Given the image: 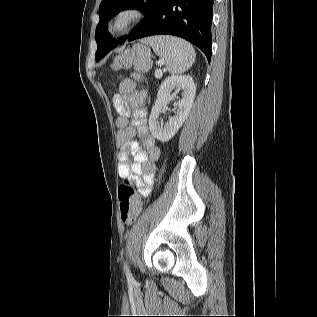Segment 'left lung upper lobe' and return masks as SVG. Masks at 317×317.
I'll use <instances>...</instances> for the list:
<instances>
[{
	"label": "left lung upper lobe",
	"mask_w": 317,
	"mask_h": 317,
	"mask_svg": "<svg viewBox=\"0 0 317 317\" xmlns=\"http://www.w3.org/2000/svg\"><path fill=\"white\" fill-rule=\"evenodd\" d=\"M162 0H102L99 8L100 22L96 27L95 39L97 42V51L95 54L96 61L105 45L110 43H124L126 37L120 40H114L106 31L107 21L114 15L124 9L136 8L141 10L147 18L141 21L129 35L128 40H134L148 25L150 20L156 14Z\"/></svg>",
	"instance_id": "5c2ea615"
}]
</instances>
